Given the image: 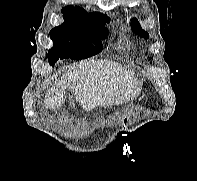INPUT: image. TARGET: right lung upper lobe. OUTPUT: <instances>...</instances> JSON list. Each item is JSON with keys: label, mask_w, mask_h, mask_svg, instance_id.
Returning <instances> with one entry per match:
<instances>
[{"label": "right lung upper lobe", "mask_w": 197, "mask_h": 181, "mask_svg": "<svg viewBox=\"0 0 197 181\" xmlns=\"http://www.w3.org/2000/svg\"><path fill=\"white\" fill-rule=\"evenodd\" d=\"M63 17L64 20H78L81 18H86V17H99V16H107L99 12H94V13H89L78 6H66L62 9Z\"/></svg>", "instance_id": "1"}]
</instances>
